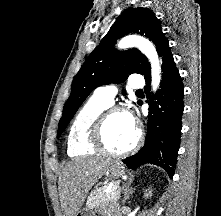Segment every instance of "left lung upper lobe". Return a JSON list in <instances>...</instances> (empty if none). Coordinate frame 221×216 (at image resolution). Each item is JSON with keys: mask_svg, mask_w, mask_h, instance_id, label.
Instances as JSON below:
<instances>
[{"mask_svg": "<svg viewBox=\"0 0 221 216\" xmlns=\"http://www.w3.org/2000/svg\"><path fill=\"white\" fill-rule=\"evenodd\" d=\"M129 33L148 37L155 44L158 53L160 47L168 42L159 19L150 9L139 7L125 10L75 76L70 97L59 121L57 138L94 89L110 83H121L132 73L145 75L148 71L150 64L138 49L121 52L114 50L116 40Z\"/></svg>", "mask_w": 221, "mask_h": 216, "instance_id": "left-lung-upper-lobe-1", "label": "left lung upper lobe"}]
</instances>
